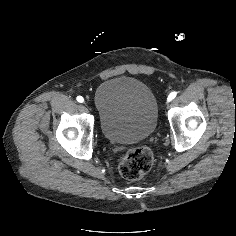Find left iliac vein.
Here are the masks:
<instances>
[{
    "mask_svg": "<svg viewBox=\"0 0 236 236\" xmlns=\"http://www.w3.org/2000/svg\"><path fill=\"white\" fill-rule=\"evenodd\" d=\"M171 100H172L171 98H170L169 100H168V99L165 100V102H164L165 104H163V106H162L164 112H166V113L169 112V110H170L169 107H170V105H171V104H170V103H171V102H170Z\"/></svg>",
    "mask_w": 236,
    "mask_h": 236,
    "instance_id": "left-iliac-vein-1",
    "label": "left iliac vein"
}]
</instances>
